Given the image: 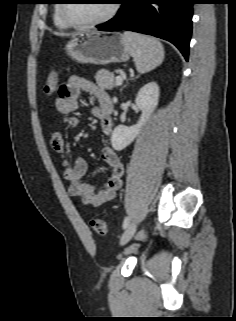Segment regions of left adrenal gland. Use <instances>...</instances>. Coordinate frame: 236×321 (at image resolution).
Here are the masks:
<instances>
[{
  "instance_id": "obj_1",
  "label": "left adrenal gland",
  "mask_w": 236,
  "mask_h": 321,
  "mask_svg": "<svg viewBox=\"0 0 236 321\" xmlns=\"http://www.w3.org/2000/svg\"><path fill=\"white\" fill-rule=\"evenodd\" d=\"M125 87H126V85H125L124 87H122L120 91L122 92V90H123Z\"/></svg>"
}]
</instances>
